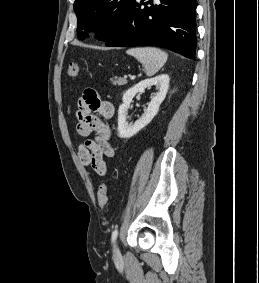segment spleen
Here are the masks:
<instances>
[{"label":"spleen","mask_w":259,"mask_h":283,"mask_svg":"<svg viewBox=\"0 0 259 283\" xmlns=\"http://www.w3.org/2000/svg\"><path fill=\"white\" fill-rule=\"evenodd\" d=\"M126 53L142 63L147 76L155 75L163 67L168 58L166 52L155 47L131 48Z\"/></svg>","instance_id":"spleen-1"}]
</instances>
